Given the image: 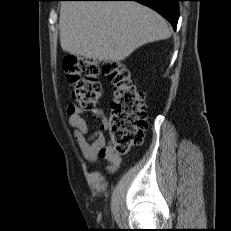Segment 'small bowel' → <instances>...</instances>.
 <instances>
[{
  "mask_svg": "<svg viewBox=\"0 0 231 231\" xmlns=\"http://www.w3.org/2000/svg\"><path fill=\"white\" fill-rule=\"evenodd\" d=\"M69 124L74 129V139L79 146L83 156L91 162L98 158H106L109 161L108 171L114 172L120 165V157L114 152L113 148L106 143L103 132L108 129L109 121L104 113L93 110L92 114L100 121V130L90 133L88 124L83 117V110L76 105H69Z\"/></svg>",
  "mask_w": 231,
  "mask_h": 231,
  "instance_id": "obj_1",
  "label": "small bowel"
}]
</instances>
